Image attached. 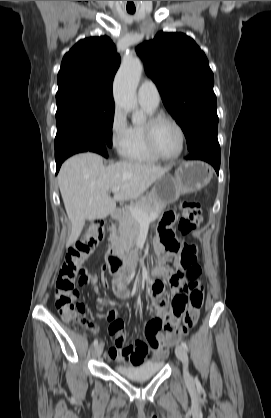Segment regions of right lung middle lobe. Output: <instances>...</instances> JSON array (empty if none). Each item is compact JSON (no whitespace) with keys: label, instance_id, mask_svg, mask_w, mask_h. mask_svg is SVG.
Listing matches in <instances>:
<instances>
[{"label":"right lung middle lobe","instance_id":"obj_1","mask_svg":"<svg viewBox=\"0 0 271 418\" xmlns=\"http://www.w3.org/2000/svg\"><path fill=\"white\" fill-rule=\"evenodd\" d=\"M114 103L68 100L57 103L55 151L101 140L112 146Z\"/></svg>","mask_w":271,"mask_h":418}]
</instances>
